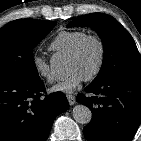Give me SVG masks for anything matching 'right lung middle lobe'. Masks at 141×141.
<instances>
[{"mask_svg": "<svg viewBox=\"0 0 141 141\" xmlns=\"http://www.w3.org/2000/svg\"><path fill=\"white\" fill-rule=\"evenodd\" d=\"M56 25L53 21L18 19L0 29V79L38 78L32 51Z\"/></svg>", "mask_w": 141, "mask_h": 141, "instance_id": "right-lung-middle-lobe-1", "label": "right lung middle lobe"}]
</instances>
